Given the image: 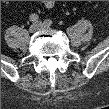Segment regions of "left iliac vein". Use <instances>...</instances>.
Here are the masks:
<instances>
[{"instance_id":"4c4485c4","label":"left iliac vein","mask_w":109,"mask_h":109,"mask_svg":"<svg viewBox=\"0 0 109 109\" xmlns=\"http://www.w3.org/2000/svg\"><path fill=\"white\" fill-rule=\"evenodd\" d=\"M37 25L39 26L40 29H49L50 28V25L45 22H38Z\"/></svg>"}]
</instances>
